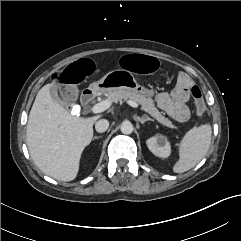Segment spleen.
Listing matches in <instances>:
<instances>
[{
  "instance_id": "1",
  "label": "spleen",
  "mask_w": 241,
  "mask_h": 241,
  "mask_svg": "<svg viewBox=\"0 0 241 241\" xmlns=\"http://www.w3.org/2000/svg\"><path fill=\"white\" fill-rule=\"evenodd\" d=\"M212 129L209 124L190 129L180 141L179 159L173 172L184 173L196 166L207 154L211 144Z\"/></svg>"
}]
</instances>
